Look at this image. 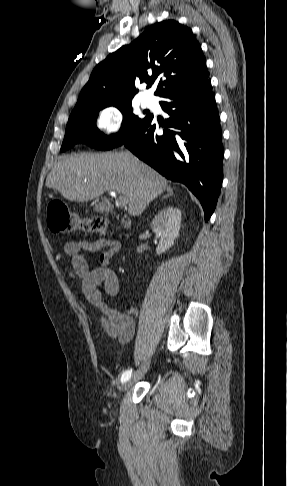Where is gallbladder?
I'll list each match as a JSON object with an SVG mask.
<instances>
[{
  "label": "gallbladder",
  "instance_id": "1",
  "mask_svg": "<svg viewBox=\"0 0 287 486\" xmlns=\"http://www.w3.org/2000/svg\"><path fill=\"white\" fill-rule=\"evenodd\" d=\"M92 206L94 207V211L98 213H108L112 210V206L106 201L96 202Z\"/></svg>",
  "mask_w": 287,
  "mask_h": 486
}]
</instances>
